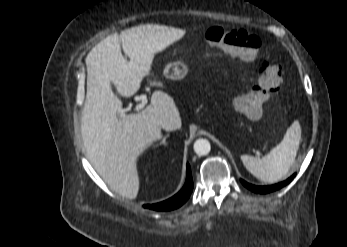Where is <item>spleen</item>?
I'll return each instance as SVG.
<instances>
[{
    "instance_id": "obj_1",
    "label": "spleen",
    "mask_w": 347,
    "mask_h": 247,
    "mask_svg": "<svg viewBox=\"0 0 347 247\" xmlns=\"http://www.w3.org/2000/svg\"><path fill=\"white\" fill-rule=\"evenodd\" d=\"M301 142V126L294 121L283 140L262 158L242 155L246 169L263 182L273 183L284 177L292 167Z\"/></svg>"
}]
</instances>
